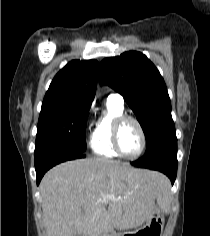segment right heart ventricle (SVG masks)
I'll list each match as a JSON object with an SVG mask.
<instances>
[{
	"label": "right heart ventricle",
	"mask_w": 210,
	"mask_h": 236,
	"mask_svg": "<svg viewBox=\"0 0 210 236\" xmlns=\"http://www.w3.org/2000/svg\"><path fill=\"white\" fill-rule=\"evenodd\" d=\"M123 112V106L106 101V111L98 117L89 141L91 150L97 156L109 159L118 157L112 144V129L114 120Z\"/></svg>",
	"instance_id": "right-heart-ventricle-1"
}]
</instances>
